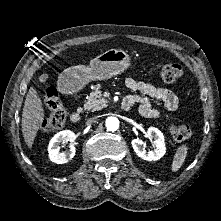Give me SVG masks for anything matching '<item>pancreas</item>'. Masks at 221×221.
Listing matches in <instances>:
<instances>
[{
    "label": "pancreas",
    "mask_w": 221,
    "mask_h": 221,
    "mask_svg": "<svg viewBox=\"0 0 221 221\" xmlns=\"http://www.w3.org/2000/svg\"><path fill=\"white\" fill-rule=\"evenodd\" d=\"M100 88V84L94 86V90L89 94L88 100L84 106L85 109L96 111L108 105V101L102 96Z\"/></svg>",
    "instance_id": "pancreas-1"
}]
</instances>
